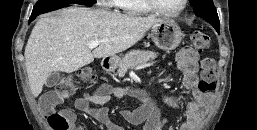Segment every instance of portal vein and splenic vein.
Instances as JSON below:
<instances>
[{"label": "portal vein and splenic vein", "instance_id": "obj_1", "mask_svg": "<svg viewBox=\"0 0 257 130\" xmlns=\"http://www.w3.org/2000/svg\"><path fill=\"white\" fill-rule=\"evenodd\" d=\"M102 41L101 40H94L92 42H90L88 48L92 49V48H95L97 47Z\"/></svg>", "mask_w": 257, "mask_h": 130}]
</instances>
